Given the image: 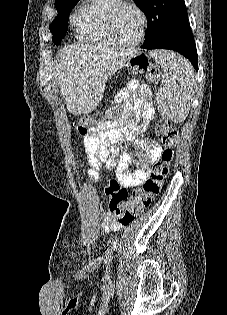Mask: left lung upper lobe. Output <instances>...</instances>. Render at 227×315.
<instances>
[{
  "mask_svg": "<svg viewBox=\"0 0 227 315\" xmlns=\"http://www.w3.org/2000/svg\"><path fill=\"white\" fill-rule=\"evenodd\" d=\"M148 19L144 42L156 39L169 28L188 21L184 0H134Z\"/></svg>",
  "mask_w": 227,
  "mask_h": 315,
  "instance_id": "5c2ea615",
  "label": "left lung upper lobe"
}]
</instances>
